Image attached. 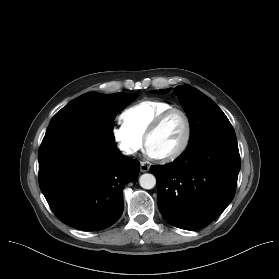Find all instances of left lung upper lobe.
Masks as SVG:
<instances>
[{
    "mask_svg": "<svg viewBox=\"0 0 279 279\" xmlns=\"http://www.w3.org/2000/svg\"><path fill=\"white\" fill-rule=\"evenodd\" d=\"M169 89L156 90L155 93L164 94ZM190 122L189 145L205 137L220 134H235L226 115L213 100L189 85H181L175 91Z\"/></svg>",
    "mask_w": 279,
    "mask_h": 279,
    "instance_id": "5c2ea615",
    "label": "left lung upper lobe"
}]
</instances>
